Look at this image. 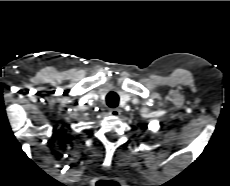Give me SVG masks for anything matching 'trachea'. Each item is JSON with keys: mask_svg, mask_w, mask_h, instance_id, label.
<instances>
[{"mask_svg": "<svg viewBox=\"0 0 230 186\" xmlns=\"http://www.w3.org/2000/svg\"><path fill=\"white\" fill-rule=\"evenodd\" d=\"M106 103L109 107L115 108L119 103V96L116 92H109L106 96Z\"/></svg>", "mask_w": 230, "mask_h": 186, "instance_id": "trachea-1", "label": "trachea"}]
</instances>
